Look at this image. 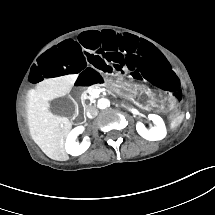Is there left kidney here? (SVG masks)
<instances>
[{
    "instance_id": "1",
    "label": "left kidney",
    "mask_w": 215,
    "mask_h": 215,
    "mask_svg": "<svg viewBox=\"0 0 215 215\" xmlns=\"http://www.w3.org/2000/svg\"><path fill=\"white\" fill-rule=\"evenodd\" d=\"M148 118L152 120L156 126L148 129L143 123H137V132L143 138L150 141H157L165 138L167 135V128L163 118L157 114H148Z\"/></svg>"
}]
</instances>
